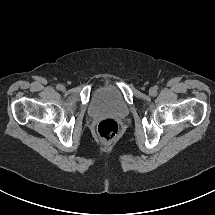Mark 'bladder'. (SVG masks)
I'll use <instances>...</instances> for the list:
<instances>
[{"instance_id":"1","label":"bladder","mask_w":215,"mask_h":215,"mask_svg":"<svg viewBox=\"0 0 215 215\" xmlns=\"http://www.w3.org/2000/svg\"><path fill=\"white\" fill-rule=\"evenodd\" d=\"M89 112L93 116L111 114L125 117L130 113V108L117 87L104 85L93 92L89 102Z\"/></svg>"}]
</instances>
